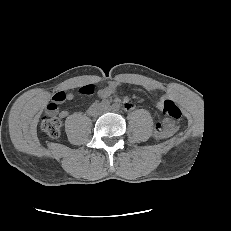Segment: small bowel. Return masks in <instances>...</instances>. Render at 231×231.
<instances>
[{
	"label": "small bowel",
	"instance_id": "c3829d8e",
	"mask_svg": "<svg viewBox=\"0 0 231 231\" xmlns=\"http://www.w3.org/2000/svg\"><path fill=\"white\" fill-rule=\"evenodd\" d=\"M117 84H119V83H114V84L108 85L106 88L100 90V92H99L100 96H102L103 94H105L106 96H108L111 93H113V91L115 90ZM147 89L149 91H155V90H157V88H155V87H147ZM54 96H57V97L60 98L57 101V103L64 102V101H69V100H72L74 98V95L72 93H66V92H58ZM164 99L165 98L162 97L160 99V101L158 102V107L159 108H162V104H163ZM124 103H125V106H126L127 109H131L133 107V104H132V102H131V100L129 98H125L124 99ZM56 112H57V114H58V116L60 118H65L67 116V111H64V110L57 111V108H56Z\"/></svg>",
	"mask_w": 231,
	"mask_h": 231
}]
</instances>
